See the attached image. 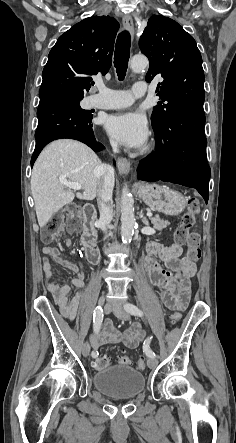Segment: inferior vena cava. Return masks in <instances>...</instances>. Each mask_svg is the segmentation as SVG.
<instances>
[{
  "instance_id": "obj_1",
  "label": "inferior vena cava",
  "mask_w": 236,
  "mask_h": 443,
  "mask_svg": "<svg viewBox=\"0 0 236 443\" xmlns=\"http://www.w3.org/2000/svg\"><path fill=\"white\" fill-rule=\"evenodd\" d=\"M111 146L114 153L118 152V145L111 140ZM100 179V186L97 194V203L100 212L99 224L101 229L106 233L107 226L113 217V201L112 193L114 188V168L108 164H102L97 169Z\"/></svg>"
}]
</instances>
